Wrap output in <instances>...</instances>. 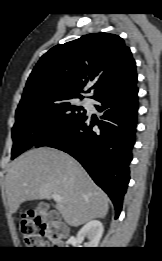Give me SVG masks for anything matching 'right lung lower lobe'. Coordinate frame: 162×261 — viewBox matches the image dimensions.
<instances>
[{"mask_svg":"<svg viewBox=\"0 0 162 261\" xmlns=\"http://www.w3.org/2000/svg\"><path fill=\"white\" fill-rule=\"evenodd\" d=\"M95 100L101 103L96 108L103 112L102 120L85 115L34 146L57 148L77 159L95 183L108 194L117 218L130 180L129 164L135 143L138 88L134 85L101 95ZM95 125L98 130H93Z\"/></svg>","mask_w":162,"mask_h":261,"instance_id":"right-lung-lower-lobe-1","label":"right lung lower lobe"}]
</instances>
